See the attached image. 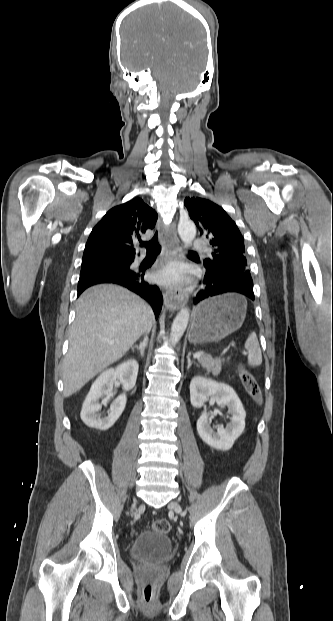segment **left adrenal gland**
Wrapping results in <instances>:
<instances>
[{
	"instance_id": "a2214340",
	"label": "left adrenal gland",
	"mask_w": 333,
	"mask_h": 621,
	"mask_svg": "<svg viewBox=\"0 0 333 621\" xmlns=\"http://www.w3.org/2000/svg\"><path fill=\"white\" fill-rule=\"evenodd\" d=\"M190 356H191V352H189V353H188V355H187V361H188L187 370H189V369H190V367L192 366V364H194V365H195V366H197V367L199 366L196 362H192V361H191Z\"/></svg>"
}]
</instances>
